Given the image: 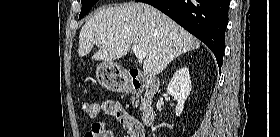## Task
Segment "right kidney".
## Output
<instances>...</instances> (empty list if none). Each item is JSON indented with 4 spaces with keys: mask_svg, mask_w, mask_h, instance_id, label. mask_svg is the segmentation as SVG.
Wrapping results in <instances>:
<instances>
[{
    "mask_svg": "<svg viewBox=\"0 0 280 137\" xmlns=\"http://www.w3.org/2000/svg\"><path fill=\"white\" fill-rule=\"evenodd\" d=\"M190 92L191 80L189 69L182 67L175 72L167 87V93L173 96L178 102L175 109L176 116L181 115L184 109V103L190 95Z\"/></svg>",
    "mask_w": 280,
    "mask_h": 137,
    "instance_id": "right-kidney-1",
    "label": "right kidney"
}]
</instances>
